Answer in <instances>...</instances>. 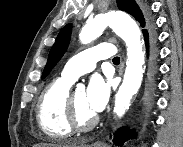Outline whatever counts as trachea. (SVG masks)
Segmentation results:
<instances>
[{"label":"trachea","mask_w":183,"mask_h":147,"mask_svg":"<svg viewBox=\"0 0 183 147\" xmlns=\"http://www.w3.org/2000/svg\"><path fill=\"white\" fill-rule=\"evenodd\" d=\"M113 62L114 63H119L120 62V58L119 57H114L113 58Z\"/></svg>","instance_id":"obj_1"}]
</instances>
